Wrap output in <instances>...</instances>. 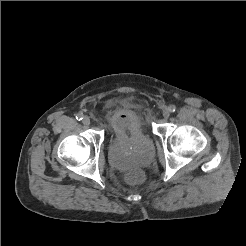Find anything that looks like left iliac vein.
I'll return each mask as SVG.
<instances>
[{"instance_id":"1","label":"left iliac vein","mask_w":246,"mask_h":246,"mask_svg":"<svg viewBox=\"0 0 246 246\" xmlns=\"http://www.w3.org/2000/svg\"><path fill=\"white\" fill-rule=\"evenodd\" d=\"M162 115L164 118H168L170 116V111L168 108H164L162 111Z\"/></svg>"}]
</instances>
